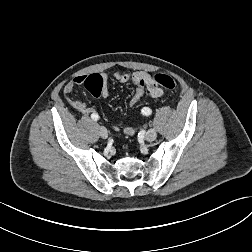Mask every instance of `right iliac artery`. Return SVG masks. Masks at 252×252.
<instances>
[{
	"label": "right iliac artery",
	"instance_id": "82829eb1",
	"mask_svg": "<svg viewBox=\"0 0 252 252\" xmlns=\"http://www.w3.org/2000/svg\"><path fill=\"white\" fill-rule=\"evenodd\" d=\"M91 118H92L94 121L99 120V116H98V114H97V113L92 114V115H91Z\"/></svg>",
	"mask_w": 252,
	"mask_h": 252
}]
</instances>
